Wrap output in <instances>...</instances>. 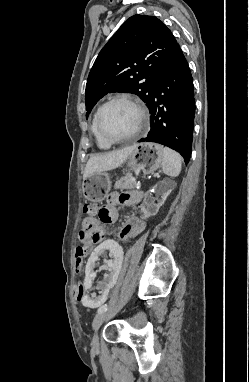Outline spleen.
Wrapping results in <instances>:
<instances>
[{
	"instance_id": "spleen-1",
	"label": "spleen",
	"mask_w": 249,
	"mask_h": 382,
	"mask_svg": "<svg viewBox=\"0 0 249 382\" xmlns=\"http://www.w3.org/2000/svg\"><path fill=\"white\" fill-rule=\"evenodd\" d=\"M163 161L162 170L170 177H177L181 172L182 157L176 151L168 148H162Z\"/></svg>"
}]
</instances>
